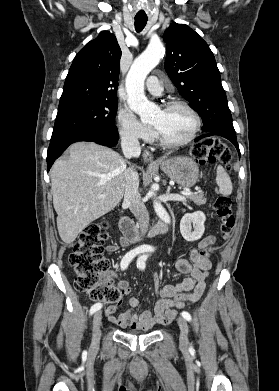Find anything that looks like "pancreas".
<instances>
[{
    "label": "pancreas",
    "mask_w": 279,
    "mask_h": 391,
    "mask_svg": "<svg viewBox=\"0 0 279 391\" xmlns=\"http://www.w3.org/2000/svg\"><path fill=\"white\" fill-rule=\"evenodd\" d=\"M187 198L197 205H204L207 201L203 193H193L191 195H188Z\"/></svg>",
    "instance_id": "obj_1"
}]
</instances>
